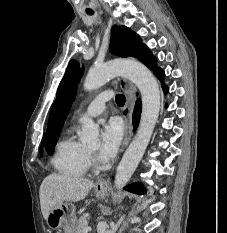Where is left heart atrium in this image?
I'll use <instances>...</instances> for the list:
<instances>
[{"instance_id": "left-heart-atrium-1", "label": "left heart atrium", "mask_w": 227, "mask_h": 233, "mask_svg": "<svg viewBox=\"0 0 227 233\" xmlns=\"http://www.w3.org/2000/svg\"><path fill=\"white\" fill-rule=\"evenodd\" d=\"M122 128L116 120L107 122L101 132V145L98 151V157L101 161L107 162L112 159L122 141Z\"/></svg>"}]
</instances>
